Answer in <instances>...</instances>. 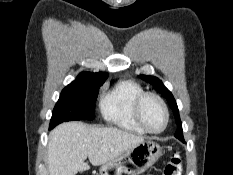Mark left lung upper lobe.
<instances>
[{"instance_id":"5c2ea615","label":"left lung upper lobe","mask_w":233,"mask_h":175,"mask_svg":"<svg viewBox=\"0 0 233 175\" xmlns=\"http://www.w3.org/2000/svg\"><path fill=\"white\" fill-rule=\"evenodd\" d=\"M139 77L142 80H144V81L150 83L151 85H153L156 88V90L164 98L167 99V102H168L169 106L172 108V111L174 113V116L176 118V123H177V126H178V129H177V131L175 133V137H177L182 142H184L183 133H182V123L180 121L179 111H178V107H177V104H176V100L174 99L172 93L163 85L161 80H159L158 78H156L154 76L140 75Z\"/></svg>"}]
</instances>
